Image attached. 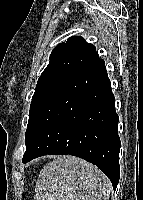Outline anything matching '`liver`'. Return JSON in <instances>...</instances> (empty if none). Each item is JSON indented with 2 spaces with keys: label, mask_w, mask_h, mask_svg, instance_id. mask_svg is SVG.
Returning <instances> with one entry per match:
<instances>
[{
  "label": "liver",
  "mask_w": 143,
  "mask_h": 200,
  "mask_svg": "<svg viewBox=\"0 0 143 200\" xmlns=\"http://www.w3.org/2000/svg\"><path fill=\"white\" fill-rule=\"evenodd\" d=\"M110 191L109 179L96 166L60 155L40 171L34 200H108Z\"/></svg>",
  "instance_id": "6515ba94"
}]
</instances>
